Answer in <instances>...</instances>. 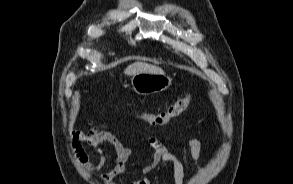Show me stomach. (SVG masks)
Segmentation results:
<instances>
[{
    "mask_svg": "<svg viewBox=\"0 0 293 184\" xmlns=\"http://www.w3.org/2000/svg\"><path fill=\"white\" fill-rule=\"evenodd\" d=\"M172 84V78L164 73L142 72L133 75L131 86L138 95H150L167 90Z\"/></svg>",
    "mask_w": 293,
    "mask_h": 184,
    "instance_id": "1",
    "label": "stomach"
}]
</instances>
